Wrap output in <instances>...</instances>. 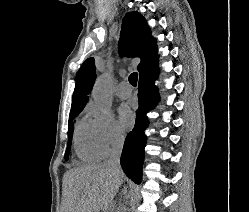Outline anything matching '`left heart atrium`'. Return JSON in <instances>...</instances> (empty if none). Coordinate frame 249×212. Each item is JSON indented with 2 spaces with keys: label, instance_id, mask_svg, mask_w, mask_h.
I'll return each instance as SVG.
<instances>
[{
  "label": "left heart atrium",
  "instance_id": "left-heart-atrium-1",
  "mask_svg": "<svg viewBox=\"0 0 249 212\" xmlns=\"http://www.w3.org/2000/svg\"><path fill=\"white\" fill-rule=\"evenodd\" d=\"M118 121L122 130H128L134 124V114L129 108L121 107L118 111Z\"/></svg>",
  "mask_w": 249,
  "mask_h": 212
}]
</instances>
